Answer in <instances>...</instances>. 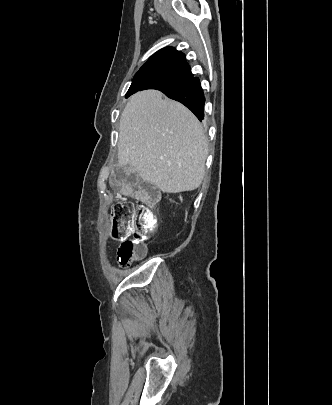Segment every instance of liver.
I'll use <instances>...</instances> for the list:
<instances>
[{"mask_svg": "<svg viewBox=\"0 0 332 405\" xmlns=\"http://www.w3.org/2000/svg\"><path fill=\"white\" fill-rule=\"evenodd\" d=\"M208 144L194 114L157 90L132 95L120 118L118 162L166 193L191 191L204 177Z\"/></svg>", "mask_w": 332, "mask_h": 405, "instance_id": "obj_1", "label": "liver"}]
</instances>
